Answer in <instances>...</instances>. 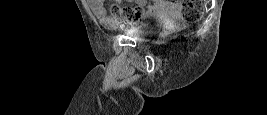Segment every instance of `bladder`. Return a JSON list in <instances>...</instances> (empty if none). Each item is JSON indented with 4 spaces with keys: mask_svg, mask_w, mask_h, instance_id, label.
Segmentation results:
<instances>
[{
    "mask_svg": "<svg viewBox=\"0 0 267 115\" xmlns=\"http://www.w3.org/2000/svg\"><path fill=\"white\" fill-rule=\"evenodd\" d=\"M127 35L134 38H148L152 35V30L144 26H137L127 31Z\"/></svg>",
    "mask_w": 267,
    "mask_h": 115,
    "instance_id": "bladder-1",
    "label": "bladder"
}]
</instances>
